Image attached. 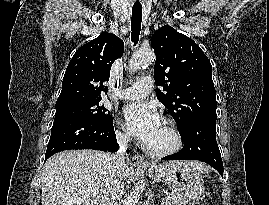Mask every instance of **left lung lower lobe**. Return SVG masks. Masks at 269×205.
Here are the masks:
<instances>
[{
  "label": "left lung lower lobe",
  "instance_id": "obj_1",
  "mask_svg": "<svg viewBox=\"0 0 269 205\" xmlns=\"http://www.w3.org/2000/svg\"><path fill=\"white\" fill-rule=\"evenodd\" d=\"M183 149L165 160H200L215 168L223 176V162L216 141V118L203 117L190 123L180 134Z\"/></svg>",
  "mask_w": 269,
  "mask_h": 205
}]
</instances>
